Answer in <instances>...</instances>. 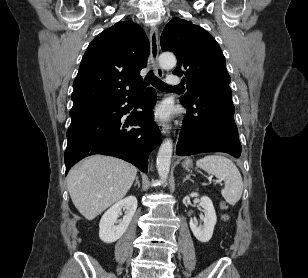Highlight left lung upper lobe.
<instances>
[{"label":"left lung upper lobe","mask_w":308,"mask_h":278,"mask_svg":"<svg viewBox=\"0 0 308 278\" xmlns=\"http://www.w3.org/2000/svg\"><path fill=\"white\" fill-rule=\"evenodd\" d=\"M161 48L177 57L173 74L184 75L187 93L180 102L191 103L206 90L229 85L225 57L216 40L203 28L180 18L172 19L161 35Z\"/></svg>","instance_id":"obj_1"}]
</instances>
